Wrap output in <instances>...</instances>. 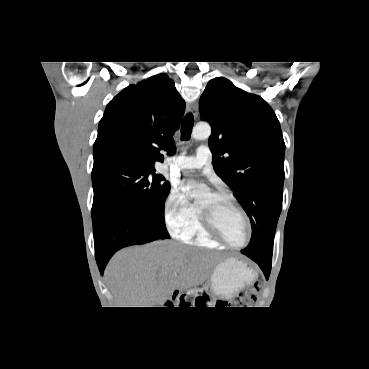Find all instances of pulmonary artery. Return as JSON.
Wrapping results in <instances>:
<instances>
[{
    "label": "pulmonary artery",
    "instance_id": "e3ab8cb5",
    "mask_svg": "<svg viewBox=\"0 0 369 369\" xmlns=\"http://www.w3.org/2000/svg\"><path fill=\"white\" fill-rule=\"evenodd\" d=\"M212 154L207 146H200L194 156H180L173 162L181 170H211Z\"/></svg>",
    "mask_w": 369,
    "mask_h": 369
}]
</instances>
